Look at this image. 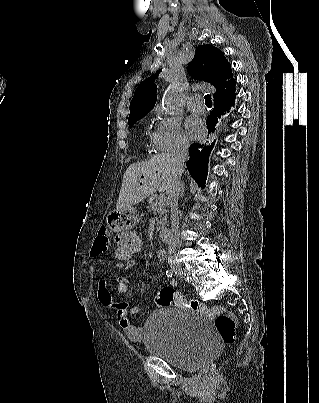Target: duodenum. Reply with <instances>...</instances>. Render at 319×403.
<instances>
[{"label":"duodenum","mask_w":319,"mask_h":403,"mask_svg":"<svg viewBox=\"0 0 319 403\" xmlns=\"http://www.w3.org/2000/svg\"><path fill=\"white\" fill-rule=\"evenodd\" d=\"M159 235H160L161 240L165 244H167V245L170 244L171 237H170V230L169 229H167V228L161 229L160 232H159Z\"/></svg>","instance_id":"1"}]
</instances>
